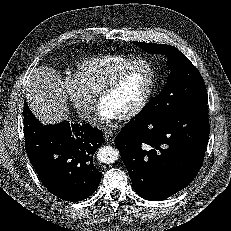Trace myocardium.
Masks as SVG:
<instances>
[{
    "mask_svg": "<svg viewBox=\"0 0 231 231\" xmlns=\"http://www.w3.org/2000/svg\"><path fill=\"white\" fill-rule=\"evenodd\" d=\"M138 65H146L149 68L151 73L150 84L142 99L130 111L119 116L120 120L127 121L133 119L143 111V109L151 100L158 82V74L152 62L146 59H135L134 61L123 67L121 70H119L116 74H114L109 80H107L97 94L98 100L102 103V100L117 88V86L121 83L126 74Z\"/></svg>",
    "mask_w": 231,
    "mask_h": 231,
    "instance_id": "f54148a6",
    "label": "myocardium"
}]
</instances>
